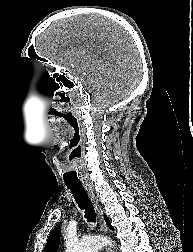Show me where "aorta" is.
Here are the masks:
<instances>
[{
    "label": "aorta",
    "instance_id": "1",
    "mask_svg": "<svg viewBox=\"0 0 193 252\" xmlns=\"http://www.w3.org/2000/svg\"><path fill=\"white\" fill-rule=\"evenodd\" d=\"M108 243L111 244L106 238L100 236L87 237L80 241L68 240L65 252H98V249Z\"/></svg>",
    "mask_w": 193,
    "mask_h": 252
}]
</instances>
